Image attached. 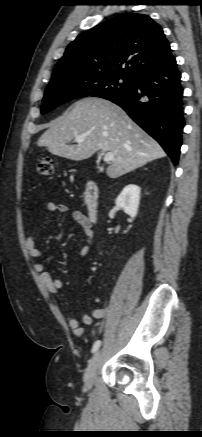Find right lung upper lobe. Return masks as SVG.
Listing matches in <instances>:
<instances>
[{
	"instance_id": "right-lung-upper-lobe-1",
	"label": "right lung upper lobe",
	"mask_w": 202,
	"mask_h": 437,
	"mask_svg": "<svg viewBox=\"0 0 202 437\" xmlns=\"http://www.w3.org/2000/svg\"><path fill=\"white\" fill-rule=\"evenodd\" d=\"M172 57L169 42L156 22L148 15L125 13L71 42L55 66L52 80L106 73L135 77ZM124 63L130 66L121 68Z\"/></svg>"
}]
</instances>
